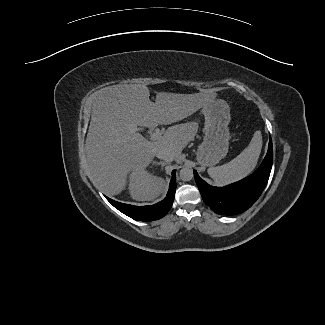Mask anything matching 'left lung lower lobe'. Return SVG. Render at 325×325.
Segmentation results:
<instances>
[{"mask_svg": "<svg viewBox=\"0 0 325 325\" xmlns=\"http://www.w3.org/2000/svg\"><path fill=\"white\" fill-rule=\"evenodd\" d=\"M273 162L272 141L260 167L250 176L224 187H214L202 180L194 170V177L204 202L214 212L236 215L249 209L267 185Z\"/></svg>", "mask_w": 325, "mask_h": 325, "instance_id": "0a47b994", "label": "left lung lower lobe"}]
</instances>
